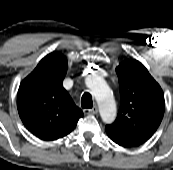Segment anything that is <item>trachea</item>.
Segmentation results:
<instances>
[{"mask_svg":"<svg viewBox=\"0 0 173 170\" xmlns=\"http://www.w3.org/2000/svg\"><path fill=\"white\" fill-rule=\"evenodd\" d=\"M81 106L83 108H86V109L92 108L93 101H92V97H91V94L90 93L85 92L82 95V98H81Z\"/></svg>","mask_w":173,"mask_h":170,"instance_id":"1","label":"trachea"}]
</instances>
